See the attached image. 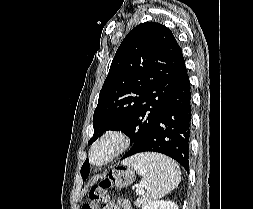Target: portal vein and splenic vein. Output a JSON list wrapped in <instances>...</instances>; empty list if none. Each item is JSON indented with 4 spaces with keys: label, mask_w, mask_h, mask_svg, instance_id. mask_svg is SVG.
<instances>
[{
    "label": "portal vein and splenic vein",
    "mask_w": 253,
    "mask_h": 209,
    "mask_svg": "<svg viewBox=\"0 0 253 209\" xmlns=\"http://www.w3.org/2000/svg\"><path fill=\"white\" fill-rule=\"evenodd\" d=\"M144 190L142 188H136V194H143Z\"/></svg>",
    "instance_id": "18ae733b"
}]
</instances>
